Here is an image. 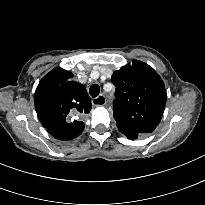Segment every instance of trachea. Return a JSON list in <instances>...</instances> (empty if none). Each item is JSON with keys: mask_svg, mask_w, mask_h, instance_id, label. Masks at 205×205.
Here are the masks:
<instances>
[{"mask_svg": "<svg viewBox=\"0 0 205 205\" xmlns=\"http://www.w3.org/2000/svg\"><path fill=\"white\" fill-rule=\"evenodd\" d=\"M89 93L92 97H97L100 93L99 85L97 84L92 85L89 89Z\"/></svg>", "mask_w": 205, "mask_h": 205, "instance_id": "obj_1", "label": "trachea"}]
</instances>
